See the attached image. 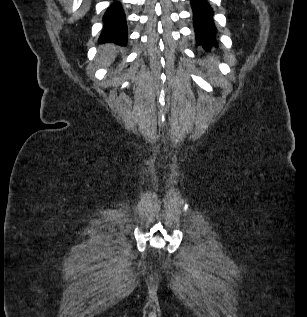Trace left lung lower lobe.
<instances>
[{
  "label": "left lung lower lobe",
  "mask_w": 307,
  "mask_h": 317,
  "mask_svg": "<svg viewBox=\"0 0 307 317\" xmlns=\"http://www.w3.org/2000/svg\"><path fill=\"white\" fill-rule=\"evenodd\" d=\"M191 7L197 45L202 46L206 51L218 47L212 7L207 0H191Z\"/></svg>",
  "instance_id": "0a47b994"
}]
</instances>
